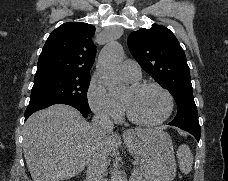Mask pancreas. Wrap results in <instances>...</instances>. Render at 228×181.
Wrapping results in <instances>:
<instances>
[{"mask_svg":"<svg viewBox=\"0 0 228 181\" xmlns=\"http://www.w3.org/2000/svg\"><path fill=\"white\" fill-rule=\"evenodd\" d=\"M145 171H142V169H138L137 173H135L134 175V179H136V181H141V177L142 175H144Z\"/></svg>","mask_w":228,"mask_h":181,"instance_id":"1","label":"pancreas"}]
</instances>
